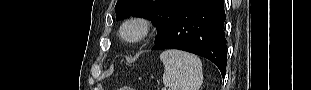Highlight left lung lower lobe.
<instances>
[{
    "label": "left lung lower lobe",
    "mask_w": 311,
    "mask_h": 90,
    "mask_svg": "<svg viewBox=\"0 0 311 90\" xmlns=\"http://www.w3.org/2000/svg\"><path fill=\"white\" fill-rule=\"evenodd\" d=\"M223 5V0H199L174 21L152 50L180 49L200 55L212 61L224 78L227 51Z\"/></svg>",
    "instance_id": "left-lung-lower-lobe-1"
}]
</instances>
